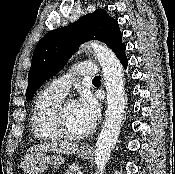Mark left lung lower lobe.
Returning a JSON list of instances; mask_svg holds the SVG:
<instances>
[{
	"instance_id": "0a47b994",
	"label": "left lung lower lobe",
	"mask_w": 175,
	"mask_h": 174,
	"mask_svg": "<svg viewBox=\"0 0 175 174\" xmlns=\"http://www.w3.org/2000/svg\"><path fill=\"white\" fill-rule=\"evenodd\" d=\"M125 50H126V46H124L116 56L119 58L123 67L126 69L128 65V59L126 57Z\"/></svg>"
}]
</instances>
